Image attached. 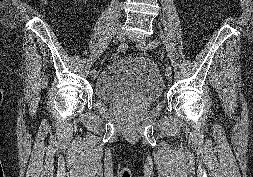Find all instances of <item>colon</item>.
<instances>
[{"label": "colon", "mask_w": 253, "mask_h": 177, "mask_svg": "<svg viewBox=\"0 0 253 177\" xmlns=\"http://www.w3.org/2000/svg\"><path fill=\"white\" fill-rule=\"evenodd\" d=\"M43 2L45 3V4H47V2H48V0H43ZM112 59H117L118 58V54L117 53H114V54H112Z\"/></svg>", "instance_id": "5ec220e1"}]
</instances>
